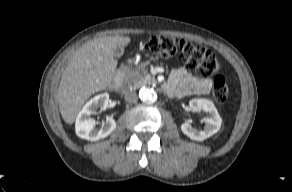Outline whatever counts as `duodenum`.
I'll return each mask as SVG.
<instances>
[{"instance_id":"duodenum-1","label":"duodenum","mask_w":292,"mask_h":192,"mask_svg":"<svg viewBox=\"0 0 292 192\" xmlns=\"http://www.w3.org/2000/svg\"><path fill=\"white\" fill-rule=\"evenodd\" d=\"M123 78V68L119 69L113 83V88L116 90L119 88Z\"/></svg>"}]
</instances>
